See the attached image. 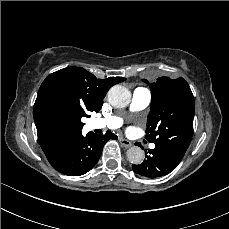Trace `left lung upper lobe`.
Listing matches in <instances>:
<instances>
[{
	"label": "left lung upper lobe",
	"instance_id": "left-lung-upper-lobe-1",
	"mask_svg": "<svg viewBox=\"0 0 229 229\" xmlns=\"http://www.w3.org/2000/svg\"><path fill=\"white\" fill-rule=\"evenodd\" d=\"M150 89L152 100L146 137L180 162L193 136L195 102L192 91L184 78L165 76L151 83Z\"/></svg>",
	"mask_w": 229,
	"mask_h": 229
}]
</instances>
